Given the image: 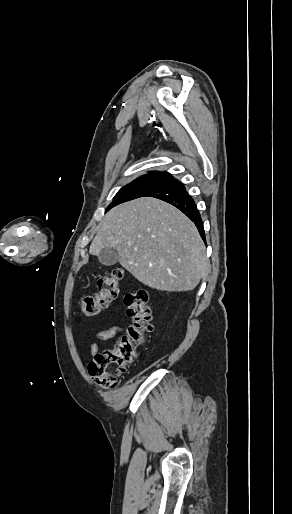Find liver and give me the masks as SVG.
Segmentation results:
<instances>
[{
	"instance_id": "obj_1",
	"label": "liver",
	"mask_w": 292,
	"mask_h": 514,
	"mask_svg": "<svg viewBox=\"0 0 292 514\" xmlns=\"http://www.w3.org/2000/svg\"><path fill=\"white\" fill-rule=\"evenodd\" d=\"M107 246L117 250L121 266L136 280L156 290H194L210 268L193 222L156 198L112 208L100 222L90 254L98 256Z\"/></svg>"
}]
</instances>
